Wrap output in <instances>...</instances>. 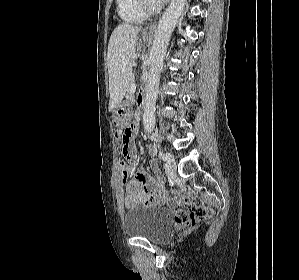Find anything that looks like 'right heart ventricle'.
<instances>
[{"label":"right heart ventricle","instance_id":"1","mask_svg":"<svg viewBox=\"0 0 299 280\" xmlns=\"http://www.w3.org/2000/svg\"><path fill=\"white\" fill-rule=\"evenodd\" d=\"M119 17L126 23H142L146 16L139 8L137 0H116Z\"/></svg>","mask_w":299,"mask_h":280}]
</instances>
